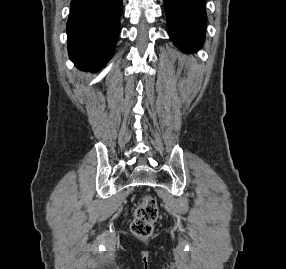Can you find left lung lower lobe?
<instances>
[{"label": "left lung lower lobe", "mask_w": 286, "mask_h": 269, "mask_svg": "<svg viewBox=\"0 0 286 269\" xmlns=\"http://www.w3.org/2000/svg\"><path fill=\"white\" fill-rule=\"evenodd\" d=\"M205 1L164 0L169 36L186 52L197 51L204 41Z\"/></svg>", "instance_id": "1"}]
</instances>
